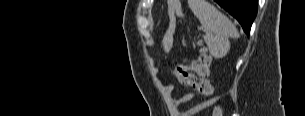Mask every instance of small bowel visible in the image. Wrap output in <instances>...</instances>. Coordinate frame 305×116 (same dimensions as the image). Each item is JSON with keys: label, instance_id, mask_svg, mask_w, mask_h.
Segmentation results:
<instances>
[{"label": "small bowel", "instance_id": "c3829d8e", "mask_svg": "<svg viewBox=\"0 0 305 116\" xmlns=\"http://www.w3.org/2000/svg\"><path fill=\"white\" fill-rule=\"evenodd\" d=\"M194 97V94L193 93H187L185 94L184 96H182L179 100H178V103H186L188 101H190L192 98ZM205 107V104H199V105H196L192 108H190L189 110H187L185 113H184V116H192V115H195L198 111H200L202 108Z\"/></svg>", "mask_w": 305, "mask_h": 116}]
</instances>
